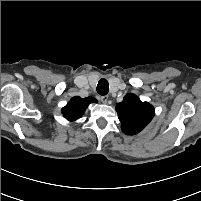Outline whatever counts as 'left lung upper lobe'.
I'll list each match as a JSON object with an SVG mask.
<instances>
[{
    "label": "left lung upper lobe",
    "instance_id": "left-lung-upper-lobe-1",
    "mask_svg": "<svg viewBox=\"0 0 201 201\" xmlns=\"http://www.w3.org/2000/svg\"><path fill=\"white\" fill-rule=\"evenodd\" d=\"M121 129L127 135H135L142 131L155 114L154 107L142 102L135 94H127L121 103L116 105Z\"/></svg>",
    "mask_w": 201,
    "mask_h": 201
}]
</instances>
